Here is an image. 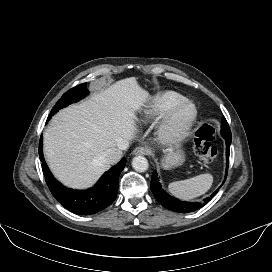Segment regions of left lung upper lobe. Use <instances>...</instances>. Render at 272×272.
Returning <instances> with one entry per match:
<instances>
[{
    "mask_svg": "<svg viewBox=\"0 0 272 272\" xmlns=\"http://www.w3.org/2000/svg\"><path fill=\"white\" fill-rule=\"evenodd\" d=\"M224 133H226L228 135H231V131L229 129V125H228L226 119L223 117L222 118V125H221V134H224Z\"/></svg>",
    "mask_w": 272,
    "mask_h": 272,
    "instance_id": "left-lung-upper-lobe-1",
    "label": "left lung upper lobe"
}]
</instances>
